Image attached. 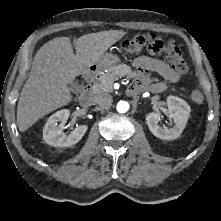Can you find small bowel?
<instances>
[{"label": "small bowel", "mask_w": 221, "mask_h": 221, "mask_svg": "<svg viewBox=\"0 0 221 221\" xmlns=\"http://www.w3.org/2000/svg\"><path fill=\"white\" fill-rule=\"evenodd\" d=\"M133 65L139 72V80L132 88L133 91L141 89H152L154 91H162L168 83L179 81L180 74L173 70L166 62L149 56H140L136 58ZM150 72L157 73L163 80L153 81Z\"/></svg>", "instance_id": "obj_1"}]
</instances>
